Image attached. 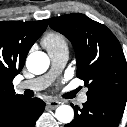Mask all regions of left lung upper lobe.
<instances>
[{"label":"left lung upper lobe","mask_w":127,"mask_h":127,"mask_svg":"<svg viewBox=\"0 0 127 127\" xmlns=\"http://www.w3.org/2000/svg\"><path fill=\"white\" fill-rule=\"evenodd\" d=\"M49 25L73 44L76 75L88 87V99L125 106L127 62L113 33L80 13L51 18Z\"/></svg>","instance_id":"obj_1"}]
</instances>
